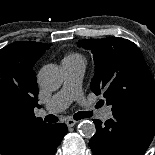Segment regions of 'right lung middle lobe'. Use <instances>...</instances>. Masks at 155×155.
<instances>
[{"mask_svg":"<svg viewBox=\"0 0 155 155\" xmlns=\"http://www.w3.org/2000/svg\"><path fill=\"white\" fill-rule=\"evenodd\" d=\"M3 115H4L3 109L2 107H0V119H3Z\"/></svg>","mask_w":155,"mask_h":155,"instance_id":"right-lung-middle-lobe-1","label":"right lung middle lobe"}]
</instances>
